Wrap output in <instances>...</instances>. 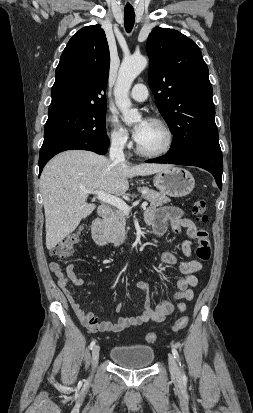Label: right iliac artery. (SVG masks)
<instances>
[{"label":"right iliac artery","instance_id":"1","mask_svg":"<svg viewBox=\"0 0 253 413\" xmlns=\"http://www.w3.org/2000/svg\"><path fill=\"white\" fill-rule=\"evenodd\" d=\"M96 341H92L90 344V349H92L95 346Z\"/></svg>","mask_w":253,"mask_h":413}]
</instances>
